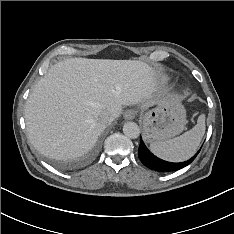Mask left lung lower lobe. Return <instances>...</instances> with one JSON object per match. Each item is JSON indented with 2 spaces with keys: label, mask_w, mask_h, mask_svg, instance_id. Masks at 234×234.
<instances>
[{
  "label": "left lung lower lobe",
  "mask_w": 234,
  "mask_h": 234,
  "mask_svg": "<svg viewBox=\"0 0 234 234\" xmlns=\"http://www.w3.org/2000/svg\"><path fill=\"white\" fill-rule=\"evenodd\" d=\"M200 150L189 160L180 163L167 162L158 157L154 156L145 146L142 139L140 140V146L138 148V156L141 162L148 168L160 171V172H170L182 169L189 165L198 155Z\"/></svg>",
  "instance_id": "obj_1"
}]
</instances>
